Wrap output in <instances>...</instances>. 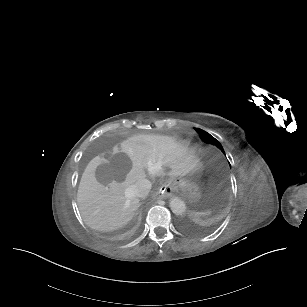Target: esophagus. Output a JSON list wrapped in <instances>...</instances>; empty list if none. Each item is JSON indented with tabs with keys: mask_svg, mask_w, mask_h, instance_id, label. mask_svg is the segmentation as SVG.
<instances>
[{
	"mask_svg": "<svg viewBox=\"0 0 307 307\" xmlns=\"http://www.w3.org/2000/svg\"><path fill=\"white\" fill-rule=\"evenodd\" d=\"M172 194V186L170 184H166L164 186V192L163 195L164 196H170Z\"/></svg>",
	"mask_w": 307,
	"mask_h": 307,
	"instance_id": "obj_1",
	"label": "esophagus"
}]
</instances>
